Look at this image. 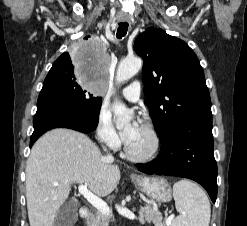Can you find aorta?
Listing matches in <instances>:
<instances>
[{
	"mask_svg": "<svg viewBox=\"0 0 247 226\" xmlns=\"http://www.w3.org/2000/svg\"><path fill=\"white\" fill-rule=\"evenodd\" d=\"M142 67V60L140 58L125 59L120 62L116 72V82L123 83L134 75ZM113 113L117 126L128 124L132 118V111L127 109L126 106L119 102L117 99L113 104Z\"/></svg>",
	"mask_w": 247,
	"mask_h": 226,
	"instance_id": "obj_1",
	"label": "aorta"
}]
</instances>
